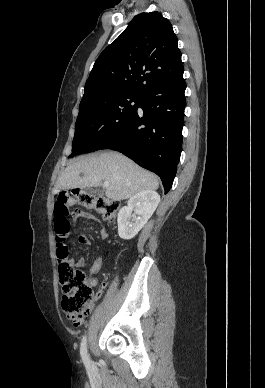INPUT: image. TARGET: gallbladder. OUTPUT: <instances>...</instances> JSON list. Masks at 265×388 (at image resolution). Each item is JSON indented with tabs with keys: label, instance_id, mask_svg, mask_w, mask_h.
I'll return each instance as SVG.
<instances>
[{
	"label": "gallbladder",
	"instance_id": "1",
	"mask_svg": "<svg viewBox=\"0 0 265 388\" xmlns=\"http://www.w3.org/2000/svg\"><path fill=\"white\" fill-rule=\"evenodd\" d=\"M88 190H90V188H84L82 192H88ZM95 192H97V194H100V190H95Z\"/></svg>",
	"mask_w": 265,
	"mask_h": 388
}]
</instances>
